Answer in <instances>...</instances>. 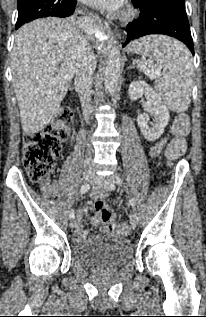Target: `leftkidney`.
<instances>
[{
    "label": "left kidney",
    "instance_id": "obj_1",
    "mask_svg": "<svg viewBox=\"0 0 206 317\" xmlns=\"http://www.w3.org/2000/svg\"><path fill=\"white\" fill-rule=\"evenodd\" d=\"M129 96L132 100H138L144 94L147 98L148 112L154 116V122L148 123L147 114H141L137 118L138 126L143 136L148 141H155L164 133L169 122V111L157 93L145 81H133L129 85Z\"/></svg>",
    "mask_w": 206,
    "mask_h": 317
}]
</instances>
